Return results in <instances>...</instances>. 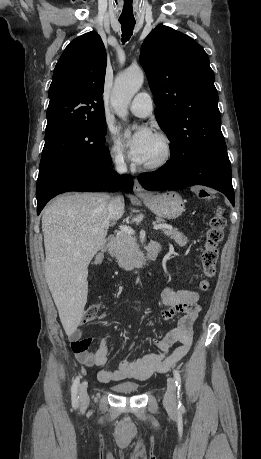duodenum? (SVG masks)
Returning a JSON list of instances; mask_svg holds the SVG:
<instances>
[{
	"instance_id": "duodenum-1",
	"label": "duodenum",
	"mask_w": 261,
	"mask_h": 459,
	"mask_svg": "<svg viewBox=\"0 0 261 459\" xmlns=\"http://www.w3.org/2000/svg\"><path fill=\"white\" fill-rule=\"evenodd\" d=\"M115 238L113 235L108 236L102 246L103 252H108L114 244ZM160 252V245L157 242H150L146 247L144 260L147 262H153L156 260Z\"/></svg>"
}]
</instances>
